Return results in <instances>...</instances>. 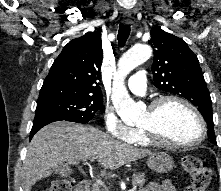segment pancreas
<instances>
[{
    "label": "pancreas",
    "instance_id": "cf45deb5",
    "mask_svg": "<svg viewBox=\"0 0 221 191\" xmlns=\"http://www.w3.org/2000/svg\"><path fill=\"white\" fill-rule=\"evenodd\" d=\"M146 179H145V174L144 173H138V174H134L132 177V185L133 187H137V186H143L145 183ZM91 191H107V189L99 184H95L92 186Z\"/></svg>",
    "mask_w": 221,
    "mask_h": 191
}]
</instances>
